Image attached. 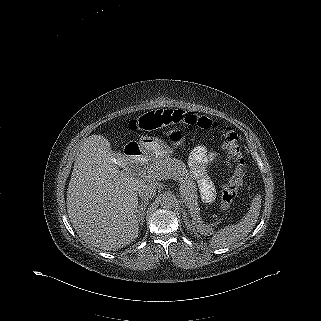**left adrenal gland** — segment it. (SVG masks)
<instances>
[{"label": "left adrenal gland", "instance_id": "obj_1", "mask_svg": "<svg viewBox=\"0 0 321 321\" xmlns=\"http://www.w3.org/2000/svg\"><path fill=\"white\" fill-rule=\"evenodd\" d=\"M183 219H184L185 225H187V228L190 229V225L187 222V217H186V213L185 212L183 213Z\"/></svg>", "mask_w": 321, "mask_h": 321}]
</instances>
